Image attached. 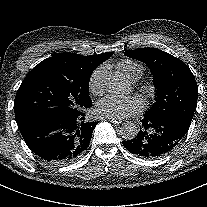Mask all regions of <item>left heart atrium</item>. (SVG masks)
Here are the masks:
<instances>
[{
  "instance_id": "obj_1",
  "label": "left heart atrium",
  "mask_w": 207,
  "mask_h": 207,
  "mask_svg": "<svg viewBox=\"0 0 207 207\" xmlns=\"http://www.w3.org/2000/svg\"><path fill=\"white\" fill-rule=\"evenodd\" d=\"M143 101L136 95H108L97 104V112L110 119H126L139 114L143 110Z\"/></svg>"
}]
</instances>
